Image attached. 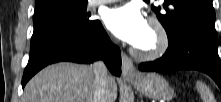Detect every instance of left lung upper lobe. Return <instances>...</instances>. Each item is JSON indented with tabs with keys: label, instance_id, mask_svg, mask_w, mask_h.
Returning a JSON list of instances; mask_svg holds the SVG:
<instances>
[{
	"label": "left lung upper lobe",
	"instance_id": "obj_1",
	"mask_svg": "<svg viewBox=\"0 0 221 102\" xmlns=\"http://www.w3.org/2000/svg\"><path fill=\"white\" fill-rule=\"evenodd\" d=\"M153 10L166 30L168 41L185 32H194L217 44L212 0H164L162 7Z\"/></svg>",
	"mask_w": 221,
	"mask_h": 102
}]
</instances>
